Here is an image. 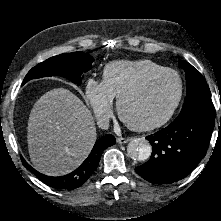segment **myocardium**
<instances>
[{"label":"myocardium","instance_id":"f54148a6","mask_svg":"<svg viewBox=\"0 0 221 221\" xmlns=\"http://www.w3.org/2000/svg\"><path fill=\"white\" fill-rule=\"evenodd\" d=\"M171 74L176 77L178 81V94L176 96V99L174 100L172 106L170 109L159 119L149 122V123H144V124H135L130 122L124 115L123 112V107L124 103L131 98L132 96L138 94L142 90H144L154 79L161 77L163 75ZM184 93V84L183 80L180 76V74L169 68H164L162 70L153 72L145 76L143 79H141L139 82H137L135 85L131 86L127 90H125L118 98L117 100V112L120 117V119L132 130L138 131V132H145V131H151L157 128L162 127L165 125L175 114L176 110L178 109L182 97Z\"/></svg>","mask_w":221,"mask_h":221}]
</instances>
